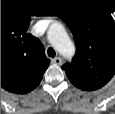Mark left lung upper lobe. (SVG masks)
Masks as SVG:
<instances>
[{"instance_id":"obj_1","label":"left lung upper lobe","mask_w":115,"mask_h":114,"mask_svg":"<svg viewBox=\"0 0 115 114\" xmlns=\"http://www.w3.org/2000/svg\"><path fill=\"white\" fill-rule=\"evenodd\" d=\"M76 45L71 63L62 66L76 87L92 91L103 87L115 74V21L109 13L80 10L61 15Z\"/></svg>"}]
</instances>
